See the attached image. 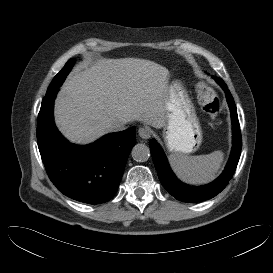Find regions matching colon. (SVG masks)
I'll return each instance as SVG.
<instances>
[{"label": "colon", "instance_id": "1", "mask_svg": "<svg viewBox=\"0 0 273 273\" xmlns=\"http://www.w3.org/2000/svg\"><path fill=\"white\" fill-rule=\"evenodd\" d=\"M196 91L203 112L210 120L217 121L221 116V107L215 90L205 83H199Z\"/></svg>", "mask_w": 273, "mask_h": 273}]
</instances>
